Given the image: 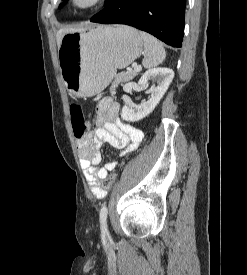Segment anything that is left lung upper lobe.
Here are the masks:
<instances>
[{"instance_id": "1", "label": "left lung upper lobe", "mask_w": 247, "mask_h": 275, "mask_svg": "<svg viewBox=\"0 0 247 275\" xmlns=\"http://www.w3.org/2000/svg\"><path fill=\"white\" fill-rule=\"evenodd\" d=\"M67 0H65L62 4H60V8L66 3ZM111 0H106L105 1V5L108 4Z\"/></svg>"}]
</instances>
